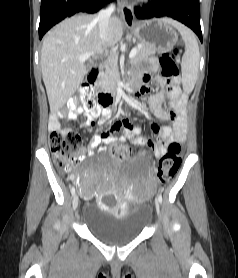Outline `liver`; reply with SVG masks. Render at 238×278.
<instances>
[{
	"label": "liver",
	"mask_w": 238,
	"mask_h": 278,
	"mask_svg": "<svg viewBox=\"0 0 238 278\" xmlns=\"http://www.w3.org/2000/svg\"><path fill=\"white\" fill-rule=\"evenodd\" d=\"M122 34L120 19L112 17L103 43L96 17L81 14L65 19L46 35L41 49V69L52 113L65 105L84 79L87 65L78 58L89 52L94 58L103 49H113Z\"/></svg>",
	"instance_id": "liver-1"
}]
</instances>
